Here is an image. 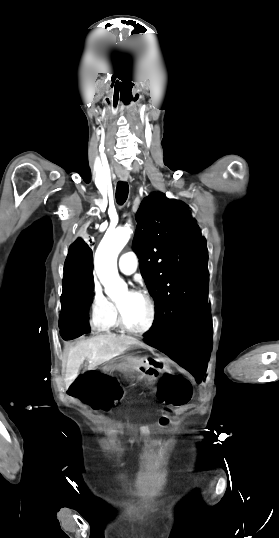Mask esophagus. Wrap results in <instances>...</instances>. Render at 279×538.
I'll use <instances>...</instances> for the list:
<instances>
[{
	"label": "esophagus",
	"instance_id": "obj_1",
	"mask_svg": "<svg viewBox=\"0 0 279 538\" xmlns=\"http://www.w3.org/2000/svg\"><path fill=\"white\" fill-rule=\"evenodd\" d=\"M120 179H121L122 181H127L128 176H121Z\"/></svg>",
	"mask_w": 279,
	"mask_h": 538
}]
</instances>
